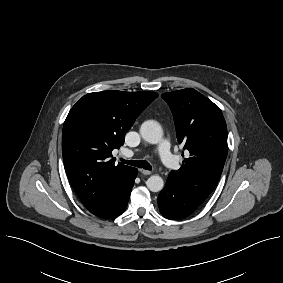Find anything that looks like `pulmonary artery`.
Masks as SVG:
<instances>
[{
    "label": "pulmonary artery",
    "instance_id": "1",
    "mask_svg": "<svg viewBox=\"0 0 283 283\" xmlns=\"http://www.w3.org/2000/svg\"><path fill=\"white\" fill-rule=\"evenodd\" d=\"M158 154L160 156L161 161L163 164L168 168H173L176 163V156H174L170 151V144L167 140H164L159 148H158ZM125 157H133L134 153L132 151H126L123 153Z\"/></svg>",
    "mask_w": 283,
    "mask_h": 283
}]
</instances>
